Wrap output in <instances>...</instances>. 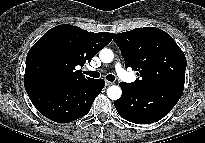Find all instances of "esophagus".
<instances>
[{
  "label": "esophagus",
  "instance_id": "esophagus-1",
  "mask_svg": "<svg viewBox=\"0 0 205 143\" xmlns=\"http://www.w3.org/2000/svg\"><path fill=\"white\" fill-rule=\"evenodd\" d=\"M112 84H113V82L105 81V86H110V85H112Z\"/></svg>",
  "mask_w": 205,
  "mask_h": 143
}]
</instances>
